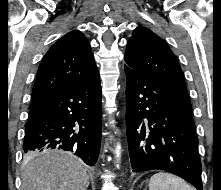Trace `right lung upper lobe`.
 <instances>
[{"label":"right lung upper lobe","mask_w":221,"mask_h":190,"mask_svg":"<svg viewBox=\"0 0 221 190\" xmlns=\"http://www.w3.org/2000/svg\"><path fill=\"white\" fill-rule=\"evenodd\" d=\"M97 74L88 40L80 31H71L45 54L37 72L31 101L64 87L90 80Z\"/></svg>","instance_id":"right-lung-upper-lobe-1"}]
</instances>
